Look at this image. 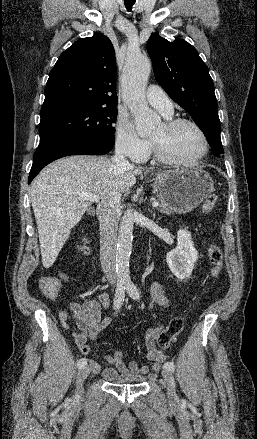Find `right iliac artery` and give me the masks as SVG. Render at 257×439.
<instances>
[{
	"label": "right iliac artery",
	"mask_w": 257,
	"mask_h": 439,
	"mask_svg": "<svg viewBox=\"0 0 257 439\" xmlns=\"http://www.w3.org/2000/svg\"><path fill=\"white\" fill-rule=\"evenodd\" d=\"M125 297V285L119 284L116 288L115 298H114V309L118 310L123 304ZM87 364L86 358H81L77 362L79 368L84 367Z\"/></svg>",
	"instance_id": "82829eb1"
}]
</instances>
